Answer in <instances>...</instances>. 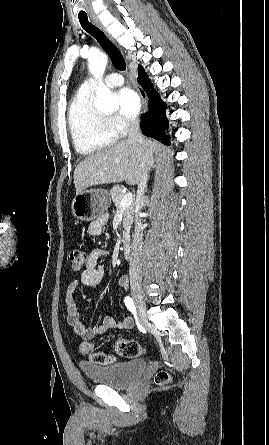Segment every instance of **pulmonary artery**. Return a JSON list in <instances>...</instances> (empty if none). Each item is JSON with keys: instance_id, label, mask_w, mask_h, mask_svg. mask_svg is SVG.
Segmentation results:
<instances>
[{"instance_id": "obj_1", "label": "pulmonary artery", "mask_w": 269, "mask_h": 445, "mask_svg": "<svg viewBox=\"0 0 269 445\" xmlns=\"http://www.w3.org/2000/svg\"><path fill=\"white\" fill-rule=\"evenodd\" d=\"M123 82H124L123 77L118 73H110L105 78V83L109 87L121 86L123 84ZM95 86H96V82L92 78L86 79L82 84V87H84L88 90H94Z\"/></svg>"}]
</instances>
